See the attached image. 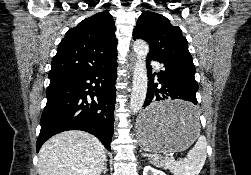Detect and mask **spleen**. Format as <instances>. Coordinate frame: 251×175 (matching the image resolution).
Segmentation results:
<instances>
[{
  "instance_id": "spleen-1",
  "label": "spleen",
  "mask_w": 251,
  "mask_h": 175,
  "mask_svg": "<svg viewBox=\"0 0 251 175\" xmlns=\"http://www.w3.org/2000/svg\"><path fill=\"white\" fill-rule=\"evenodd\" d=\"M195 111H187V119L194 121ZM207 141L205 135H199L194 147L190 149L187 159L183 161H171L167 159L166 163L174 175H198L201 171L207 157Z\"/></svg>"
}]
</instances>
